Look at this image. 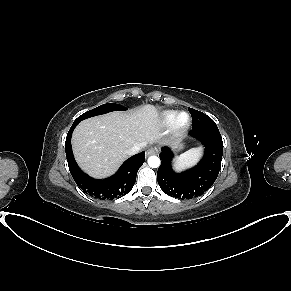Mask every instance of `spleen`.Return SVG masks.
<instances>
[{"label": "spleen", "instance_id": "spleen-1", "mask_svg": "<svg viewBox=\"0 0 291 291\" xmlns=\"http://www.w3.org/2000/svg\"><path fill=\"white\" fill-rule=\"evenodd\" d=\"M201 149H191L174 159V169L180 171L187 166L193 165L200 157Z\"/></svg>", "mask_w": 291, "mask_h": 291}]
</instances>
